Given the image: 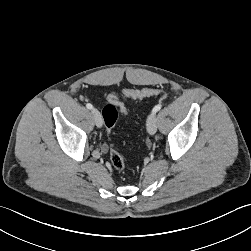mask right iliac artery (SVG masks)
<instances>
[{
	"label": "right iliac artery",
	"instance_id": "obj_1",
	"mask_svg": "<svg viewBox=\"0 0 251 251\" xmlns=\"http://www.w3.org/2000/svg\"><path fill=\"white\" fill-rule=\"evenodd\" d=\"M86 107L88 108V109H93V106H92V104H90V103H88V104H86Z\"/></svg>",
	"mask_w": 251,
	"mask_h": 251
}]
</instances>
